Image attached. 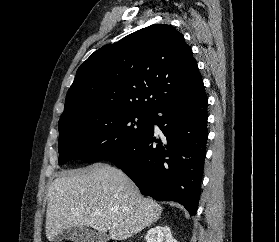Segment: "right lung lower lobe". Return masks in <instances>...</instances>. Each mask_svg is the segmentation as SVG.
<instances>
[{"mask_svg":"<svg viewBox=\"0 0 279 242\" xmlns=\"http://www.w3.org/2000/svg\"><path fill=\"white\" fill-rule=\"evenodd\" d=\"M207 103L203 87L157 109L140 139L103 160L121 168L143 195L176 201L196 215L208 138ZM154 124L161 129V137L154 133Z\"/></svg>","mask_w":279,"mask_h":242,"instance_id":"obj_1","label":"right lung lower lobe"}]
</instances>
